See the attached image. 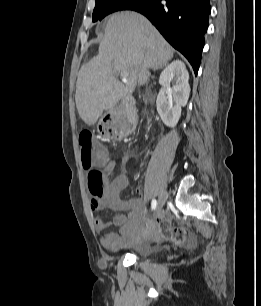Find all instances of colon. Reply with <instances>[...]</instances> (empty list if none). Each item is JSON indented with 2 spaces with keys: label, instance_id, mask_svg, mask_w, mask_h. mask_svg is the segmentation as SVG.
Masks as SVG:
<instances>
[{
  "label": "colon",
  "instance_id": "obj_1",
  "mask_svg": "<svg viewBox=\"0 0 261 306\" xmlns=\"http://www.w3.org/2000/svg\"><path fill=\"white\" fill-rule=\"evenodd\" d=\"M137 116V110L132 107L126 109L123 115L117 116L112 127L106 126L109 132L122 133L128 122H133ZM119 124L121 129L117 128ZM95 134L91 131H83L79 135V148L81 163L85 170L88 171V185L91 195L97 199L105 187V180L101 170L94 168L96 161H102L107 156V151L103 148L95 149L93 144ZM157 226L160 234L165 240L181 243L186 237L183 229L172 225L171 221L162 216L157 219Z\"/></svg>",
  "mask_w": 261,
  "mask_h": 306
}]
</instances>
